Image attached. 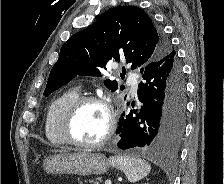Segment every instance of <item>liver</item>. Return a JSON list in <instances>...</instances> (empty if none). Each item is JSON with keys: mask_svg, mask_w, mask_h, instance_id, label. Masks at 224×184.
Masks as SVG:
<instances>
[{"mask_svg": "<svg viewBox=\"0 0 224 184\" xmlns=\"http://www.w3.org/2000/svg\"><path fill=\"white\" fill-rule=\"evenodd\" d=\"M52 152H60V153H62V152H66V150H51Z\"/></svg>", "mask_w": 224, "mask_h": 184, "instance_id": "liver-1", "label": "liver"}]
</instances>
